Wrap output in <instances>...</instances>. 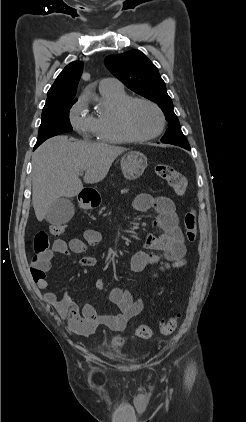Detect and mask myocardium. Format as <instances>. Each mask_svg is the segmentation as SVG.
<instances>
[{"mask_svg": "<svg viewBox=\"0 0 246 422\" xmlns=\"http://www.w3.org/2000/svg\"><path fill=\"white\" fill-rule=\"evenodd\" d=\"M136 103H145L149 106H151L152 108H154L156 110V112L159 115L160 118V125L159 128L152 134L150 135H139L137 134L129 121V112L131 110V108L136 104ZM117 118H118V122L119 125L121 127V129L123 130V132L132 140V141H136V142H145V141H149V140H153L155 138H157L164 130L165 125H166V117L165 114L163 112V110L161 109V107L155 103L154 101L147 99V98H142V97H131L128 100H126L118 109L117 111Z\"/></svg>", "mask_w": 246, "mask_h": 422, "instance_id": "1", "label": "myocardium"}]
</instances>
